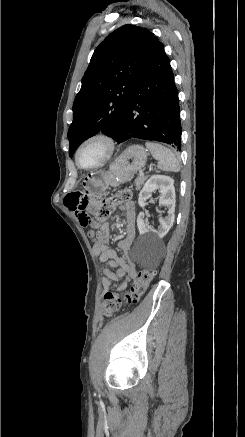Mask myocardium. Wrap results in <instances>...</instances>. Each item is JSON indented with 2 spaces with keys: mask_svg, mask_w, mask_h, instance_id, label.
Returning <instances> with one entry per match:
<instances>
[{
  "mask_svg": "<svg viewBox=\"0 0 245 437\" xmlns=\"http://www.w3.org/2000/svg\"><path fill=\"white\" fill-rule=\"evenodd\" d=\"M93 141L102 142L105 145V153H104L103 157L97 163L90 165V166H83L80 163V159H79L80 152L85 145H87L88 143L93 142ZM115 150H116V140L112 135H110L106 132H103V131L95 132L93 134H90L86 138H84L79 143V145L75 151V161H76L77 166L83 170L96 169V168H99V167L103 166L104 164H106L114 155Z\"/></svg>",
  "mask_w": 245,
  "mask_h": 437,
  "instance_id": "1",
  "label": "myocardium"
}]
</instances>
